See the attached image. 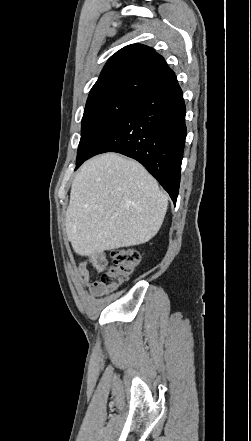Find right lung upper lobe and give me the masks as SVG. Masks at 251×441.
<instances>
[{
    "label": "right lung upper lobe",
    "instance_id": "cb5924a9",
    "mask_svg": "<svg viewBox=\"0 0 251 441\" xmlns=\"http://www.w3.org/2000/svg\"><path fill=\"white\" fill-rule=\"evenodd\" d=\"M173 75L164 58L153 49L141 44L128 45L105 64L86 105L108 98H140Z\"/></svg>",
    "mask_w": 251,
    "mask_h": 441
}]
</instances>
